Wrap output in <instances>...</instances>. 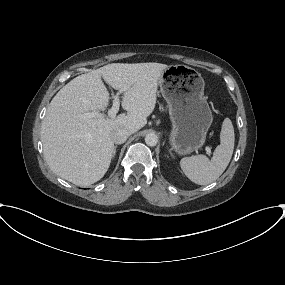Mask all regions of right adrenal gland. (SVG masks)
Instances as JSON below:
<instances>
[{
	"instance_id": "2a0ac1e0",
	"label": "right adrenal gland",
	"mask_w": 285,
	"mask_h": 285,
	"mask_svg": "<svg viewBox=\"0 0 285 285\" xmlns=\"http://www.w3.org/2000/svg\"><path fill=\"white\" fill-rule=\"evenodd\" d=\"M116 147L117 146H114V150H113V157L115 156V154H116Z\"/></svg>"
}]
</instances>
